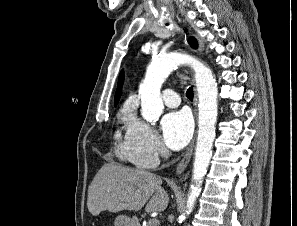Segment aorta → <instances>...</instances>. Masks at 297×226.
<instances>
[{"label":"aorta","instance_id":"obj_1","mask_svg":"<svg viewBox=\"0 0 297 226\" xmlns=\"http://www.w3.org/2000/svg\"><path fill=\"white\" fill-rule=\"evenodd\" d=\"M181 65H190L195 71V81L198 91L199 129L193 165V181L187 199V214H189L201 192L203 177L207 173L212 157V146L215 139V124L217 121L216 79L210 68L197 59L182 53L172 52L155 58L148 66L146 76L140 85L142 117L154 124L161 116L164 105L160 96L163 82L170 73ZM185 218V216H184Z\"/></svg>","mask_w":297,"mask_h":226}]
</instances>
